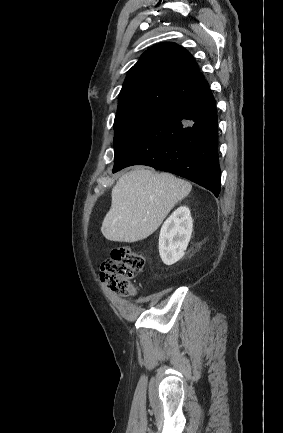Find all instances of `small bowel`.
Returning a JSON list of instances; mask_svg holds the SVG:
<instances>
[{"label":"small bowel","mask_w":283,"mask_h":433,"mask_svg":"<svg viewBox=\"0 0 283 433\" xmlns=\"http://www.w3.org/2000/svg\"><path fill=\"white\" fill-rule=\"evenodd\" d=\"M119 308L123 315L130 318L133 315V310L124 302H119Z\"/></svg>","instance_id":"1"}]
</instances>
